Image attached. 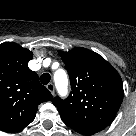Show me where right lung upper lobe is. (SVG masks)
Returning a JSON list of instances; mask_svg holds the SVG:
<instances>
[{
  "label": "right lung upper lobe",
  "instance_id": "cb5924a9",
  "mask_svg": "<svg viewBox=\"0 0 136 136\" xmlns=\"http://www.w3.org/2000/svg\"><path fill=\"white\" fill-rule=\"evenodd\" d=\"M33 53L12 42L0 45V130L17 132L36 116L38 105L51 93L28 67Z\"/></svg>",
  "mask_w": 136,
  "mask_h": 136
}]
</instances>
